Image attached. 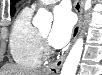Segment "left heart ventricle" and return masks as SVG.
I'll list each match as a JSON object with an SVG mask.
<instances>
[{
  "label": "left heart ventricle",
  "mask_w": 102,
  "mask_h": 75,
  "mask_svg": "<svg viewBox=\"0 0 102 75\" xmlns=\"http://www.w3.org/2000/svg\"><path fill=\"white\" fill-rule=\"evenodd\" d=\"M49 32V29L42 30L41 33L46 37Z\"/></svg>",
  "instance_id": "obj_1"
}]
</instances>
